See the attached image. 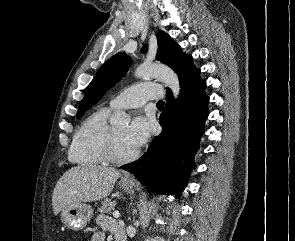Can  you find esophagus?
I'll return each instance as SVG.
<instances>
[{
  "label": "esophagus",
  "mask_w": 295,
  "mask_h": 241,
  "mask_svg": "<svg viewBox=\"0 0 295 241\" xmlns=\"http://www.w3.org/2000/svg\"><path fill=\"white\" fill-rule=\"evenodd\" d=\"M123 178H124V179H132L133 177H132L131 175H129V174H126V175H124Z\"/></svg>",
  "instance_id": "esophagus-1"
}]
</instances>
